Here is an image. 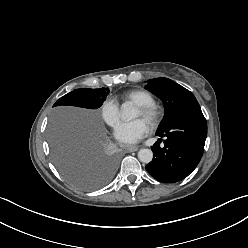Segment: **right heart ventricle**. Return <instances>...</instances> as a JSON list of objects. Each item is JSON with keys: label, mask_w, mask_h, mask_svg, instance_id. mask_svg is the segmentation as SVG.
<instances>
[{"label": "right heart ventricle", "mask_w": 248, "mask_h": 248, "mask_svg": "<svg viewBox=\"0 0 248 248\" xmlns=\"http://www.w3.org/2000/svg\"><path fill=\"white\" fill-rule=\"evenodd\" d=\"M123 98L136 105L148 104L154 102V96L144 89H133L124 93Z\"/></svg>", "instance_id": "right-heart-ventricle-1"}]
</instances>
